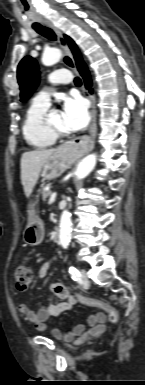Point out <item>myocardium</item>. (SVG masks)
<instances>
[{"instance_id": "1", "label": "myocardium", "mask_w": 145, "mask_h": 385, "mask_svg": "<svg viewBox=\"0 0 145 385\" xmlns=\"http://www.w3.org/2000/svg\"><path fill=\"white\" fill-rule=\"evenodd\" d=\"M44 125H45L46 130L56 139L66 138L69 136L68 132L61 131V130H59V129H57L51 125V123L49 121V115L45 116Z\"/></svg>"}]
</instances>
